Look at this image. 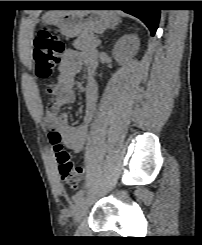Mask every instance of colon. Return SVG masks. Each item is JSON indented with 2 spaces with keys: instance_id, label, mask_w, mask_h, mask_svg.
<instances>
[{
  "instance_id": "5ec220e1",
  "label": "colon",
  "mask_w": 202,
  "mask_h": 245,
  "mask_svg": "<svg viewBox=\"0 0 202 245\" xmlns=\"http://www.w3.org/2000/svg\"><path fill=\"white\" fill-rule=\"evenodd\" d=\"M63 44L58 37L47 29H42L33 40V60L35 74L40 80H48L57 67ZM49 139L54 146L58 170L62 180L72 188H77L83 174L82 168L72 160L71 153L61 145V136L57 130L49 132Z\"/></svg>"
}]
</instances>
